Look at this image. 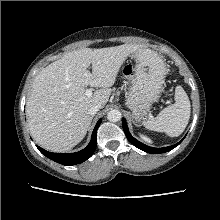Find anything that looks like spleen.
I'll list each match as a JSON object with an SVG mask.
<instances>
[{
	"label": "spleen",
	"instance_id": "3e777b00",
	"mask_svg": "<svg viewBox=\"0 0 220 220\" xmlns=\"http://www.w3.org/2000/svg\"><path fill=\"white\" fill-rule=\"evenodd\" d=\"M175 103L164 108L155 118L143 122L145 128L177 137L185 130L190 118V101L179 85L175 89Z\"/></svg>",
	"mask_w": 220,
	"mask_h": 220
}]
</instances>
